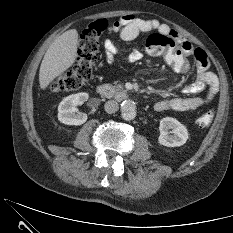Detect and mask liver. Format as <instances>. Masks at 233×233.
Instances as JSON below:
<instances>
[{"label":"liver","mask_w":233,"mask_h":233,"mask_svg":"<svg viewBox=\"0 0 233 233\" xmlns=\"http://www.w3.org/2000/svg\"><path fill=\"white\" fill-rule=\"evenodd\" d=\"M78 32L75 29L64 32L54 40L46 51L39 70V83L41 89L48 85L68 68L77 57Z\"/></svg>","instance_id":"1"}]
</instances>
